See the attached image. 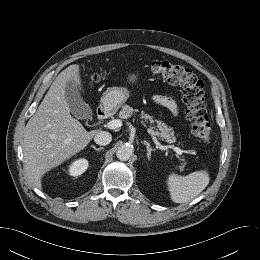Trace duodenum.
<instances>
[{"mask_svg": "<svg viewBox=\"0 0 260 260\" xmlns=\"http://www.w3.org/2000/svg\"><path fill=\"white\" fill-rule=\"evenodd\" d=\"M108 113H109V106L103 105L97 109L96 115L98 119L102 120L107 117Z\"/></svg>", "mask_w": 260, "mask_h": 260, "instance_id": "410a0bca", "label": "duodenum"}]
</instances>
